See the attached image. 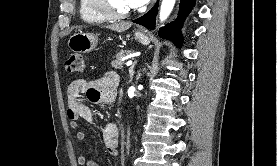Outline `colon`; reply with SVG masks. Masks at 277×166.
I'll list each match as a JSON object with an SVG mask.
<instances>
[{
  "label": "colon",
  "instance_id": "colon-1",
  "mask_svg": "<svg viewBox=\"0 0 277 166\" xmlns=\"http://www.w3.org/2000/svg\"><path fill=\"white\" fill-rule=\"evenodd\" d=\"M85 68V60L81 54H72L65 62V69L70 73H83Z\"/></svg>",
  "mask_w": 277,
  "mask_h": 166
}]
</instances>
